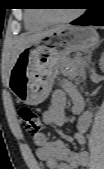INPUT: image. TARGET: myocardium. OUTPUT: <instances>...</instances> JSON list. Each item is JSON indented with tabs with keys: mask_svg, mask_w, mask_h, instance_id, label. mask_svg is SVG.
<instances>
[{
	"mask_svg": "<svg viewBox=\"0 0 104 169\" xmlns=\"http://www.w3.org/2000/svg\"><path fill=\"white\" fill-rule=\"evenodd\" d=\"M79 13L75 11L73 14L68 15L66 17L62 18H51L47 15H40V18L46 21L47 23H53V24H58V23H67L70 22L78 17Z\"/></svg>",
	"mask_w": 104,
	"mask_h": 169,
	"instance_id": "1",
	"label": "myocardium"
}]
</instances>
